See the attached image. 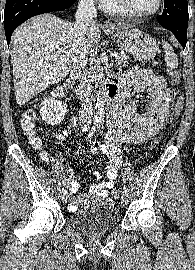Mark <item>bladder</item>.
Masks as SVG:
<instances>
[{
	"mask_svg": "<svg viewBox=\"0 0 195 270\" xmlns=\"http://www.w3.org/2000/svg\"><path fill=\"white\" fill-rule=\"evenodd\" d=\"M119 219L120 213L115 206L94 204L75 211L71 216V223L82 232L100 235L116 227Z\"/></svg>",
	"mask_w": 195,
	"mask_h": 270,
	"instance_id": "obj_1",
	"label": "bladder"
}]
</instances>
